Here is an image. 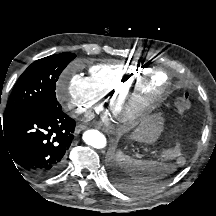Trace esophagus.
<instances>
[{
    "label": "esophagus",
    "mask_w": 216,
    "mask_h": 216,
    "mask_svg": "<svg viewBox=\"0 0 216 216\" xmlns=\"http://www.w3.org/2000/svg\"><path fill=\"white\" fill-rule=\"evenodd\" d=\"M85 129H86V125L78 124L75 127V133H80L82 130H85Z\"/></svg>",
    "instance_id": "esophagus-1"
}]
</instances>
